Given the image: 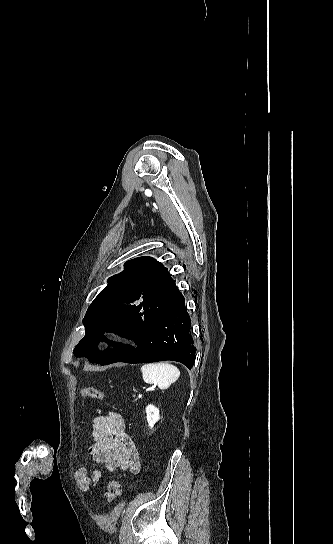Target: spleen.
Instances as JSON below:
<instances>
[{
  "instance_id": "1",
  "label": "spleen",
  "mask_w": 333,
  "mask_h": 544,
  "mask_svg": "<svg viewBox=\"0 0 333 544\" xmlns=\"http://www.w3.org/2000/svg\"><path fill=\"white\" fill-rule=\"evenodd\" d=\"M144 382L155 384L160 389H167L180 376L178 368L168 362L148 363L141 367Z\"/></svg>"
}]
</instances>
